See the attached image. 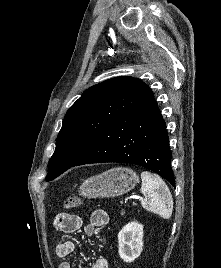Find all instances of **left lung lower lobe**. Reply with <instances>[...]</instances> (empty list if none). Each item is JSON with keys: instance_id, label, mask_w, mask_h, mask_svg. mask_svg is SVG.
<instances>
[{"instance_id": "1", "label": "left lung lower lobe", "mask_w": 221, "mask_h": 268, "mask_svg": "<svg viewBox=\"0 0 221 268\" xmlns=\"http://www.w3.org/2000/svg\"><path fill=\"white\" fill-rule=\"evenodd\" d=\"M171 156L165 121L152 98L112 122L71 167L104 162L136 164L175 187Z\"/></svg>"}]
</instances>
